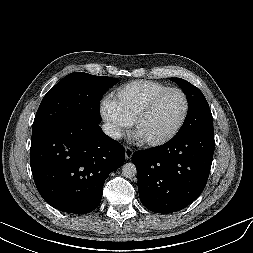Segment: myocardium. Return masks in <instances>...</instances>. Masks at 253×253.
<instances>
[{
	"label": "myocardium",
	"instance_id": "1",
	"mask_svg": "<svg viewBox=\"0 0 253 253\" xmlns=\"http://www.w3.org/2000/svg\"><path fill=\"white\" fill-rule=\"evenodd\" d=\"M170 92H178L181 94V96L183 97L184 100V110H183V114L178 122V124L175 126V128L169 132L167 135L160 137V138H155V139H146V140H141V142L147 146H151V147H157V146H161L164 145L168 142H170L172 139H174L179 132L181 131V129L183 128L186 119L188 117V113H189V100L188 97L186 95V93L177 87H169L165 90H162L158 93H156L144 106V108L142 109V111L139 113V115L137 116L136 120L133 123V132L135 134V136L137 137V133H138V129L140 128L141 124L144 122V120L148 117V115L151 113L152 109L154 108V106L157 104V102L166 94L170 93Z\"/></svg>",
	"mask_w": 253,
	"mask_h": 253
}]
</instances>
